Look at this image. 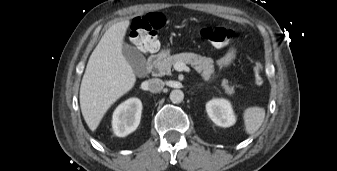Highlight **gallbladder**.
<instances>
[{
    "mask_svg": "<svg viewBox=\"0 0 337 171\" xmlns=\"http://www.w3.org/2000/svg\"><path fill=\"white\" fill-rule=\"evenodd\" d=\"M122 51L135 74L143 75L146 70V60L144 56L135 47L128 44L123 45Z\"/></svg>",
    "mask_w": 337,
    "mask_h": 171,
    "instance_id": "1",
    "label": "gallbladder"
}]
</instances>
